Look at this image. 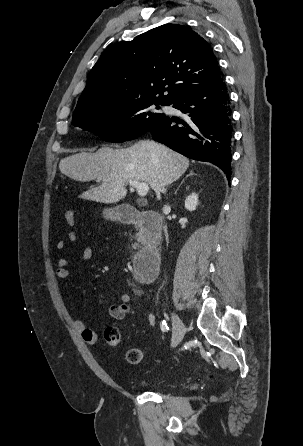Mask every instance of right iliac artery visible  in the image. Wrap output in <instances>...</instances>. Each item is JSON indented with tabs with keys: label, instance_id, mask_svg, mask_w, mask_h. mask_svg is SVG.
<instances>
[{
	"label": "right iliac artery",
	"instance_id": "obj_1",
	"mask_svg": "<svg viewBox=\"0 0 303 446\" xmlns=\"http://www.w3.org/2000/svg\"><path fill=\"white\" fill-rule=\"evenodd\" d=\"M160 328H161V330H162L163 332H168V331H169V327H168V325H167V323H166L165 320H163V321L161 322V324H160Z\"/></svg>",
	"mask_w": 303,
	"mask_h": 446
}]
</instances>
